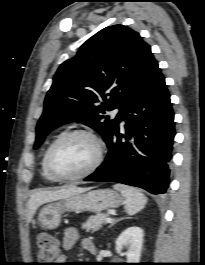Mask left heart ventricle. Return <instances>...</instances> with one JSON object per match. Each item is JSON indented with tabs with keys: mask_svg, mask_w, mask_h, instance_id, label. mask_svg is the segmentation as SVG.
<instances>
[{
	"mask_svg": "<svg viewBox=\"0 0 205 265\" xmlns=\"http://www.w3.org/2000/svg\"><path fill=\"white\" fill-rule=\"evenodd\" d=\"M96 157V146L84 136H73L60 143L52 153L51 165L61 175L72 176L87 169Z\"/></svg>",
	"mask_w": 205,
	"mask_h": 265,
	"instance_id": "left-heart-ventricle-1",
	"label": "left heart ventricle"
}]
</instances>
